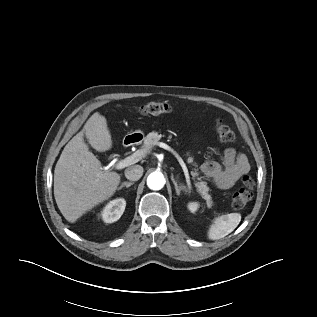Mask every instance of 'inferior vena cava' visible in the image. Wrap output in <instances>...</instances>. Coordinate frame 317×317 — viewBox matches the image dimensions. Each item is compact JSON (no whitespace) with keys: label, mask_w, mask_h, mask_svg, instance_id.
<instances>
[{"label":"inferior vena cava","mask_w":317,"mask_h":317,"mask_svg":"<svg viewBox=\"0 0 317 317\" xmlns=\"http://www.w3.org/2000/svg\"><path fill=\"white\" fill-rule=\"evenodd\" d=\"M143 175V167L140 165H133L125 170V177L131 181H137Z\"/></svg>","instance_id":"602c4592"}]
</instances>
